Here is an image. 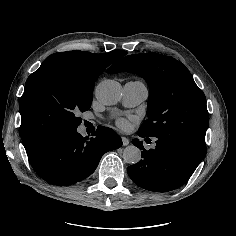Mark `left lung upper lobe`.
Listing matches in <instances>:
<instances>
[{
	"label": "left lung upper lobe",
	"instance_id": "obj_1",
	"mask_svg": "<svg viewBox=\"0 0 236 236\" xmlns=\"http://www.w3.org/2000/svg\"><path fill=\"white\" fill-rule=\"evenodd\" d=\"M122 71L141 76L150 89L148 119L139 135L153 137L166 132L205 142L209 122L206 98L181 62L157 53L133 54L107 69L110 74Z\"/></svg>",
	"mask_w": 236,
	"mask_h": 236
}]
</instances>
